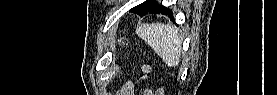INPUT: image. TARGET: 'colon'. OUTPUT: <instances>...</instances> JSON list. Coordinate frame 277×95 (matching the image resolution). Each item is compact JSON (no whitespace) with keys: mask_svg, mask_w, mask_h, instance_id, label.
<instances>
[{"mask_svg":"<svg viewBox=\"0 0 277 95\" xmlns=\"http://www.w3.org/2000/svg\"><path fill=\"white\" fill-rule=\"evenodd\" d=\"M120 43L123 45V44L126 43V40H125V39H121V40H120Z\"/></svg>","mask_w":277,"mask_h":95,"instance_id":"1","label":"colon"}]
</instances>
